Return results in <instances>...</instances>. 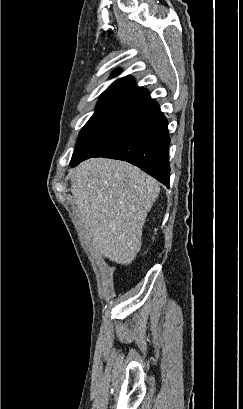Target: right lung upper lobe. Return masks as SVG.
I'll return each mask as SVG.
<instances>
[{
	"label": "right lung upper lobe",
	"instance_id": "1",
	"mask_svg": "<svg viewBox=\"0 0 243 409\" xmlns=\"http://www.w3.org/2000/svg\"><path fill=\"white\" fill-rule=\"evenodd\" d=\"M118 71L113 73L117 75ZM142 87L134 84V79L130 76L123 77L113 82L101 95L99 101H125L128 98L142 91Z\"/></svg>",
	"mask_w": 243,
	"mask_h": 409
}]
</instances>
